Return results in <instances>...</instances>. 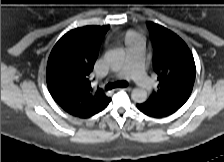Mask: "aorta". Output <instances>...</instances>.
<instances>
[{
  "instance_id": "aorta-1",
  "label": "aorta",
  "mask_w": 224,
  "mask_h": 162,
  "mask_svg": "<svg viewBox=\"0 0 224 162\" xmlns=\"http://www.w3.org/2000/svg\"><path fill=\"white\" fill-rule=\"evenodd\" d=\"M123 59L124 53L121 50H113L106 55V61L115 71L120 69ZM131 98L136 103H144L147 100V91L142 88H135L131 92Z\"/></svg>"
}]
</instances>
